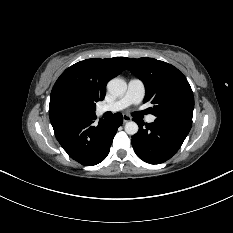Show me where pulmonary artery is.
Segmentation results:
<instances>
[{"label":"pulmonary artery","mask_w":233,"mask_h":233,"mask_svg":"<svg viewBox=\"0 0 233 233\" xmlns=\"http://www.w3.org/2000/svg\"><path fill=\"white\" fill-rule=\"evenodd\" d=\"M145 95V86L144 83L137 78H132L128 81V87L126 93L118 98L117 100L100 105L97 108V112L99 114H103L106 112H118L121 111L132 104L140 103ZM155 121L154 115H149L147 117V122L153 123Z\"/></svg>","instance_id":"1"}]
</instances>
